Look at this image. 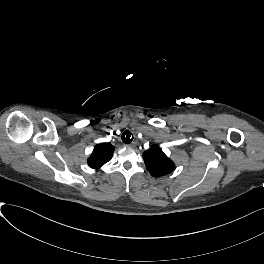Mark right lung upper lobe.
<instances>
[{
  "instance_id": "right-lung-upper-lobe-1",
  "label": "right lung upper lobe",
  "mask_w": 264,
  "mask_h": 264,
  "mask_svg": "<svg viewBox=\"0 0 264 264\" xmlns=\"http://www.w3.org/2000/svg\"><path fill=\"white\" fill-rule=\"evenodd\" d=\"M114 147L110 143H101L94 147L91 156L88 158V165L93 169L102 167L111 160Z\"/></svg>"
}]
</instances>
